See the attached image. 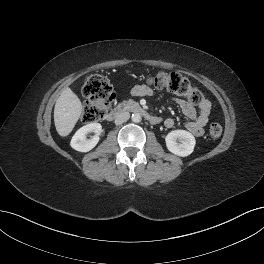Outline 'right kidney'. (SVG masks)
Returning a JSON list of instances; mask_svg holds the SVG:
<instances>
[{"instance_id": "ca27d5eb", "label": "right kidney", "mask_w": 264, "mask_h": 264, "mask_svg": "<svg viewBox=\"0 0 264 264\" xmlns=\"http://www.w3.org/2000/svg\"><path fill=\"white\" fill-rule=\"evenodd\" d=\"M94 133L95 136L87 140L88 133ZM102 132V126L99 123H90L81 127L71 139V147L80 152H88L92 150L99 141V134Z\"/></svg>"}]
</instances>
